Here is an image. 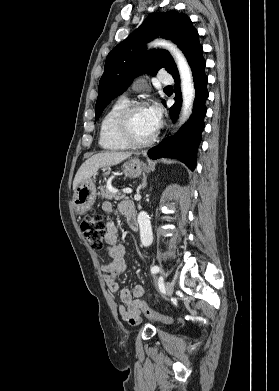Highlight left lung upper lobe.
Segmentation results:
<instances>
[{
  "label": "left lung upper lobe",
  "mask_w": 279,
  "mask_h": 391,
  "mask_svg": "<svg viewBox=\"0 0 279 391\" xmlns=\"http://www.w3.org/2000/svg\"><path fill=\"white\" fill-rule=\"evenodd\" d=\"M158 37L171 39L177 44L189 64L202 47L198 32L186 14L174 10L150 14L138 29L108 54L99 82L95 120L139 75L146 73L154 76L160 69H165L173 78L179 75L173 58L166 50L146 51L143 48L145 43Z\"/></svg>",
  "instance_id": "1"
}]
</instances>
